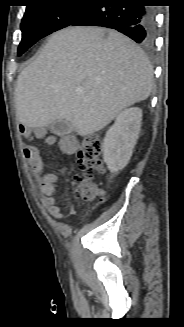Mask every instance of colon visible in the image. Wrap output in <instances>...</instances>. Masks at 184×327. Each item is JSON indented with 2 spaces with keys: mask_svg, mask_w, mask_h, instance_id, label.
Wrapping results in <instances>:
<instances>
[{
  "mask_svg": "<svg viewBox=\"0 0 184 327\" xmlns=\"http://www.w3.org/2000/svg\"><path fill=\"white\" fill-rule=\"evenodd\" d=\"M102 144L97 135L85 137L77 153V163L84 176L74 179V194L85 201H92L101 195L100 189L91 181L96 173L103 171L101 161Z\"/></svg>",
  "mask_w": 184,
  "mask_h": 327,
  "instance_id": "5ec220e1",
  "label": "colon"
}]
</instances>
